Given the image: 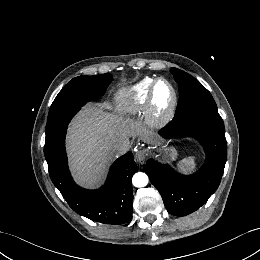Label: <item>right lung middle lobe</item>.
I'll return each mask as SVG.
<instances>
[{"label": "right lung middle lobe", "instance_id": "right-lung-middle-lobe-1", "mask_svg": "<svg viewBox=\"0 0 260 260\" xmlns=\"http://www.w3.org/2000/svg\"><path fill=\"white\" fill-rule=\"evenodd\" d=\"M111 81V74L106 73L76 77L66 84L51 105L45 142L52 141L86 102L99 99Z\"/></svg>", "mask_w": 260, "mask_h": 260}]
</instances>
